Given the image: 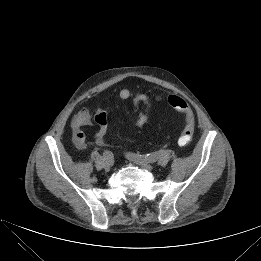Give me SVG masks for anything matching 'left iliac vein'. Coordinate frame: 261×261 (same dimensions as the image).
Here are the masks:
<instances>
[{
    "label": "left iliac vein",
    "instance_id": "1",
    "mask_svg": "<svg viewBox=\"0 0 261 261\" xmlns=\"http://www.w3.org/2000/svg\"><path fill=\"white\" fill-rule=\"evenodd\" d=\"M128 158L145 170H151L153 168L152 164L140 155H129Z\"/></svg>",
    "mask_w": 261,
    "mask_h": 261
}]
</instances>
